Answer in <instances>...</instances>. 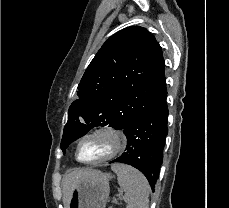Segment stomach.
<instances>
[{"mask_svg": "<svg viewBox=\"0 0 229 208\" xmlns=\"http://www.w3.org/2000/svg\"><path fill=\"white\" fill-rule=\"evenodd\" d=\"M113 176L102 174L95 180H84L75 186L69 200V208H106Z\"/></svg>", "mask_w": 229, "mask_h": 208, "instance_id": "0dacf381", "label": "stomach"}]
</instances>
